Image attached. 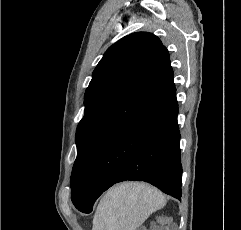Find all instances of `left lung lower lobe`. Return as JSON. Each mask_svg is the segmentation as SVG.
<instances>
[{"instance_id": "0a47b994", "label": "left lung lower lobe", "mask_w": 241, "mask_h": 230, "mask_svg": "<svg viewBox=\"0 0 241 230\" xmlns=\"http://www.w3.org/2000/svg\"><path fill=\"white\" fill-rule=\"evenodd\" d=\"M177 114L172 78L100 150L88 171L76 208L90 213L104 191L125 180L149 182L180 198L182 165Z\"/></svg>"}]
</instances>
